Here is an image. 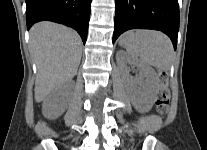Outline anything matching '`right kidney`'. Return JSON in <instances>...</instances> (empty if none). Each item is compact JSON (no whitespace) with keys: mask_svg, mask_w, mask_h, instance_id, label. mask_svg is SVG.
Masks as SVG:
<instances>
[{"mask_svg":"<svg viewBox=\"0 0 207 150\" xmlns=\"http://www.w3.org/2000/svg\"><path fill=\"white\" fill-rule=\"evenodd\" d=\"M63 94L64 88L58 87L45 98L42 105V113L46 118L54 119L64 113L67 108V102L65 100L59 101Z\"/></svg>","mask_w":207,"mask_h":150,"instance_id":"right-kidney-1","label":"right kidney"}]
</instances>
